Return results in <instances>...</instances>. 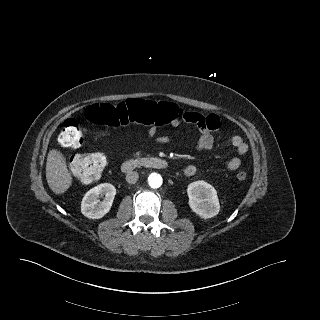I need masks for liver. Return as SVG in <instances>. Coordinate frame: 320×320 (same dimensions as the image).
I'll return each instance as SVG.
<instances>
[{
  "label": "liver",
  "mask_w": 320,
  "mask_h": 320,
  "mask_svg": "<svg viewBox=\"0 0 320 320\" xmlns=\"http://www.w3.org/2000/svg\"><path fill=\"white\" fill-rule=\"evenodd\" d=\"M46 179L55 194H63L72 184V176L67 169L66 160L56 149H52L48 153Z\"/></svg>",
  "instance_id": "1"
}]
</instances>
